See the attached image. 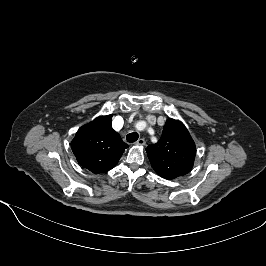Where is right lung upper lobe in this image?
Returning <instances> with one entry per match:
<instances>
[{"label":"right lung upper lobe","mask_w":266,"mask_h":266,"mask_svg":"<svg viewBox=\"0 0 266 266\" xmlns=\"http://www.w3.org/2000/svg\"><path fill=\"white\" fill-rule=\"evenodd\" d=\"M111 119L112 115L100 116L82 126L71 143L78 163L95 174L111 170L129 147L112 128Z\"/></svg>","instance_id":"obj_1"}]
</instances>
